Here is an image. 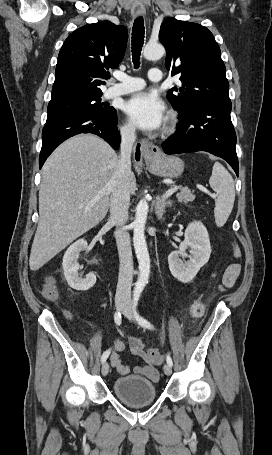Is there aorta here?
<instances>
[{"mask_svg":"<svg viewBox=\"0 0 272 455\" xmlns=\"http://www.w3.org/2000/svg\"><path fill=\"white\" fill-rule=\"evenodd\" d=\"M164 53L165 49L159 43H148L143 51L144 57L148 60H158ZM148 210V202L146 199H142L136 207L135 220L133 222V243L140 271L134 288L136 293L143 291L145 285L148 283L150 273V258L144 234Z\"/></svg>","mask_w":272,"mask_h":455,"instance_id":"1","label":"aorta"}]
</instances>
